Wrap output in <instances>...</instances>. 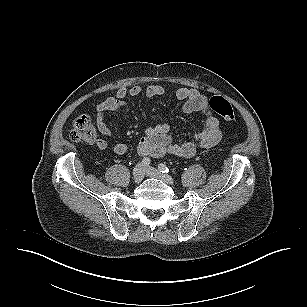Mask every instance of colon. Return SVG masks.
Returning a JSON list of instances; mask_svg holds the SVG:
<instances>
[{"label": "colon", "instance_id": "1", "mask_svg": "<svg viewBox=\"0 0 307 307\" xmlns=\"http://www.w3.org/2000/svg\"><path fill=\"white\" fill-rule=\"evenodd\" d=\"M210 109L226 121H235V113L230 103L223 97L214 96L208 103ZM70 139L75 142L97 141V133L91 119L85 115L77 117L70 130Z\"/></svg>", "mask_w": 307, "mask_h": 307}]
</instances>
